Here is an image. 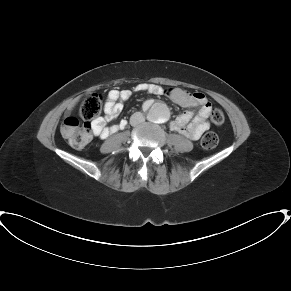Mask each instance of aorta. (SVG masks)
<instances>
[{
	"label": "aorta",
	"mask_w": 291,
	"mask_h": 291,
	"mask_svg": "<svg viewBox=\"0 0 291 291\" xmlns=\"http://www.w3.org/2000/svg\"><path fill=\"white\" fill-rule=\"evenodd\" d=\"M148 118L155 123H164L169 119V109L163 103H155L149 109Z\"/></svg>",
	"instance_id": "762f6f07"
}]
</instances>
